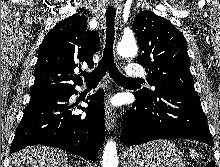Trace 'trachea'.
Listing matches in <instances>:
<instances>
[{"instance_id":"obj_1","label":"trachea","mask_w":220,"mask_h":167,"mask_svg":"<svg viewBox=\"0 0 220 167\" xmlns=\"http://www.w3.org/2000/svg\"><path fill=\"white\" fill-rule=\"evenodd\" d=\"M106 39L105 48L103 51V56L99 61L97 67L90 73H82L85 78L86 83H96L100 81L105 73L108 71L112 79L119 84H130L133 82L141 81L138 78H128L125 77L117 68L114 62V21L116 16L115 8H108L106 11Z\"/></svg>"}]
</instances>
